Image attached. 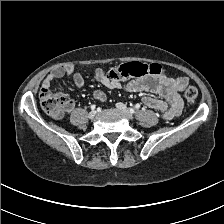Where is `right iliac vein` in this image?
<instances>
[{"instance_id":"63e3f726","label":"right iliac vein","mask_w":224,"mask_h":224,"mask_svg":"<svg viewBox=\"0 0 224 224\" xmlns=\"http://www.w3.org/2000/svg\"><path fill=\"white\" fill-rule=\"evenodd\" d=\"M95 115H96V111H91L89 114H88V117L90 118V119H93L94 117H95Z\"/></svg>"}]
</instances>
